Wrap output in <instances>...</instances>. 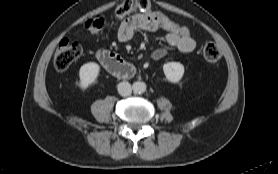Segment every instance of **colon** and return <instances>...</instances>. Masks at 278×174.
Masks as SVG:
<instances>
[{
	"instance_id": "colon-1",
	"label": "colon",
	"mask_w": 278,
	"mask_h": 174,
	"mask_svg": "<svg viewBox=\"0 0 278 174\" xmlns=\"http://www.w3.org/2000/svg\"><path fill=\"white\" fill-rule=\"evenodd\" d=\"M136 11L144 13L154 12L151 10L148 0H125L116 10V18L118 20H123ZM156 18L164 30L172 32L179 37H191L190 30L186 25L173 20L162 13H157ZM106 24L107 21L104 17H96L89 19L86 22V28L91 33H99L105 28ZM81 55L82 47L79 43L70 40H63L60 42L55 52L54 66L58 71H64L69 68L71 64L76 62ZM202 55L205 62L210 65H215L221 58V51L217 44L209 42L203 47Z\"/></svg>"
}]
</instances>
